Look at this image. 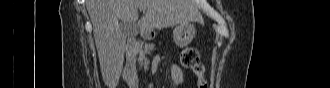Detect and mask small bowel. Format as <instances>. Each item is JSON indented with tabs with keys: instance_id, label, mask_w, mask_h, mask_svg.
<instances>
[{
	"instance_id": "1",
	"label": "small bowel",
	"mask_w": 330,
	"mask_h": 88,
	"mask_svg": "<svg viewBox=\"0 0 330 88\" xmlns=\"http://www.w3.org/2000/svg\"><path fill=\"white\" fill-rule=\"evenodd\" d=\"M170 77L174 85L180 86L184 82V71L178 65H173L170 68Z\"/></svg>"
}]
</instances>
